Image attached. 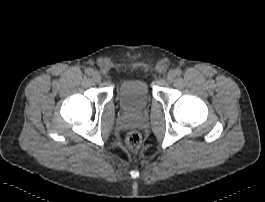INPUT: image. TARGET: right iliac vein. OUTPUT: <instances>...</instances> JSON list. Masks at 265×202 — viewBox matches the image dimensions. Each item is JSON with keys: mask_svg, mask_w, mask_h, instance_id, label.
Segmentation results:
<instances>
[{"mask_svg": "<svg viewBox=\"0 0 265 202\" xmlns=\"http://www.w3.org/2000/svg\"><path fill=\"white\" fill-rule=\"evenodd\" d=\"M92 78L95 82H100L101 81V75L98 71H94L92 73Z\"/></svg>", "mask_w": 265, "mask_h": 202, "instance_id": "63e3f726", "label": "right iliac vein"}]
</instances>
